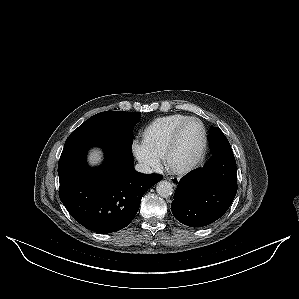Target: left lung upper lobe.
Returning <instances> with one entry per match:
<instances>
[{
	"mask_svg": "<svg viewBox=\"0 0 299 299\" xmlns=\"http://www.w3.org/2000/svg\"><path fill=\"white\" fill-rule=\"evenodd\" d=\"M208 140L210 146L231 148L226 136L218 127H212L209 132Z\"/></svg>",
	"mask_w": 299,
	"mask_h": 299,
	"instance_id": "5c2ea615",
	"label": "left lung upper lobe"
}]
</instances>
